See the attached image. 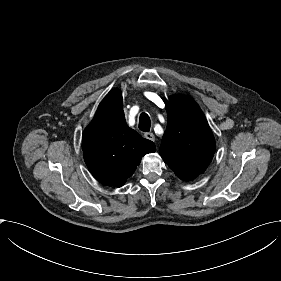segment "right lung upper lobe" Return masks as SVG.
Wrapping results in <instances>:
<instances>
[{
	"label": "right lung upper lobe",
	"mask_w": 281,
	"mask_h": 281,
	"mask_svg": "<svg viewBox=\"0 0 281 281\" xmlns=\"http://www.w3.org/2000/svg\"><path fill=\"white\" fill-rule=\"evenodd\" d=\"M82 149L92 175L103 185L113 187L123 186L141 158L156 150L152 141L127 126L118 88L102 100L84 130Z\"/></svg>",
	"instance_id": "obj_1"
}]
</instances>
